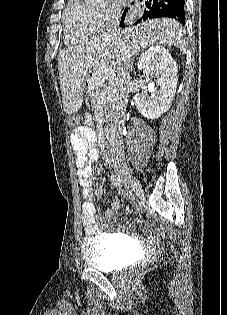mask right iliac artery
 I'll list each match as a JSON object with an SVG mask.
<instances>
[{
  "label": "right iliac artery",
  "mask_w": 227,
  "mask_h": 315,
  "mask_svg": "<svg viewBox=\"0 0 227 315\" xmlns=\"http://www.w3.org/2000/svg\"><path fill=\"white\" fill-rule=\"evenodd\" d=\"M110 180L112 182L113 185H115L116 187H122V182L119 176L116 175H111L110 176Z\"/></svg>",
  "instance_id": "82829eb1"
}]
</instances>
